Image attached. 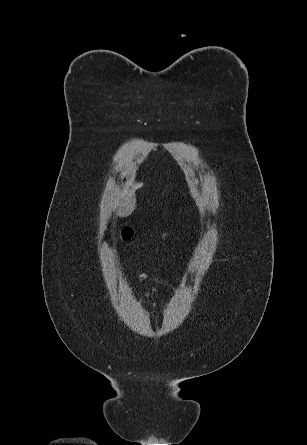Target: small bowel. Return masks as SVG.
<instances>
[{
  "label": "small bowel",
  "instance_id": "obj_1",
  "mask_svg": "<svg viewBox=\"0 0 307 445\" xmlns=\"http://www.w3.org/2000/svg\"><path fill=\"white\" fill-rule=\"evenodd\" d=\"M139 281L141 284L145 285L147 287V293L150 297L154 296V291L148 287V276L145 273H141L139 276Z\"/></svg>",
  "mask_w": 307,
  "mask_h": 445
}]
</instances>
